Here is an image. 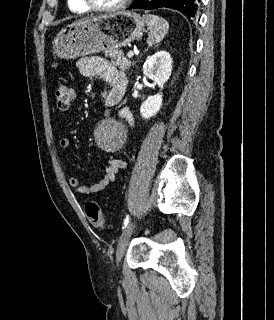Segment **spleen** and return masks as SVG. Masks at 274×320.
<instances>
[{"mask_svg":"<svg viewBox=\"0 0 274 320\" xmlns=\"http://www.w3.org/2000/svg\"><path fill=\"white\" fill-rule=\"evenodd\" d=\"M145 24L149 28V38L147 44L152 46V44H157L160 40H163L165 34L168 30V22L164 18H159V16H153V14H146L143 16Z\"/></svg>","mask_w":274,"mask_h":320,"instance_id":"obj_1","label":"spleen"}]
</instances>
